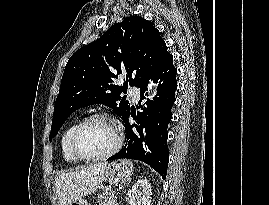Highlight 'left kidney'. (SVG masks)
Wrapping results in <instances>:
<instances>
[{
  "label": "left kidney",
  "mask_w": 269,
  "mask_h": 205,
  "mask_svg": "<svg viewBox=\"0 0 269 205\" xmlns=\"http://www.w3.org/2000/svg\"><path fill=\"white\" fill-rule=\"evenodd\" d=\"M127 202L130 205H150L151 184L145 179H139L127 193Z\"/></svg>",
  "instance_id": "left-kidney-1"
}]
</instances>
